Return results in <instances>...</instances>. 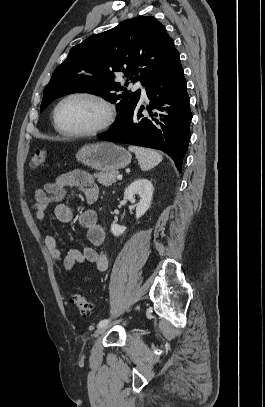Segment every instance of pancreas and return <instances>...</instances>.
Listing matches in <instances>:
<instances>
[{
  "label": "pancreas",
  "instance_id": "cf45deb5",
  "mask_svg": "<svg viewBox=\"0 0 265 407\" xmlns=\"http://www.w3.org/2000/svg\"><path fill=\"white\" fill-rule=\"evenodd\" d=\"M118 175V171H101L99 173H95L94 177L97 178L98 182L103 186H110L112 183L116 182V177Z\"/></svg>",
  "mask_w": 265,
  "mask_h": 407
}]
</instances>
